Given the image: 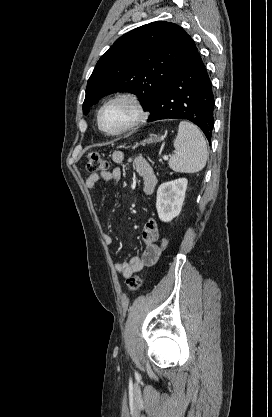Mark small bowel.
Wrapping results in <instances>:
<instances>
[{
	"label": "small bowel",
	"mask_w": 272,
	"mask_h": 417,
	"mask_svg": "<svg viewBox=\"0 0 272 417\" xmlns=\"http://www.w3.org/2000/svg\"><path fill=\"white\" fill-rule=\"evenodd\" d=\"M112 160L116 164H123L125 162V154L122 151H115L112 154ZM137 174L142 179L143 192L150 196L153 194L157 185V178L143 155H135L131 159ZM121 179V170L114 168L110 171L92 173L86 179V187L93 190L98 183L105 181H119ZM159 237V225L153 218L149 219L142 231V239L146 244V249L142 256H132L128 261L117 262L114 265L116 272L123 278L128 279L134 274L139 273L145 266L153 265L158 259L161 251L157 248V241ZM106 245L111 246L114 242L113 237L109 234L103 235Z\"/></svg>",
	"instance_id": "c3829d8e"
}]
</instances>
